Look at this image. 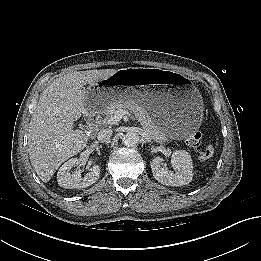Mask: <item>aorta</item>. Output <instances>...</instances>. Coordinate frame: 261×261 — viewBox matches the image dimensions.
Segmentation results:
<instances>
[{
	"instance_id": "aorta-1",
	"label": "aorta",
	"mask_w": 261,
	"mask_h": 261,
	"mask_svg": "<svg viewBox=\"0 0 261 261\" xmlns=\"http://www.w3.org/2000/svg\"><path fill=\"white\" fill-rule=\"evenodd\" d=\"M122 142L127 147H135L140 142V136L135 131H129L123 136Z\"/></svg>"
}]
</instances>
